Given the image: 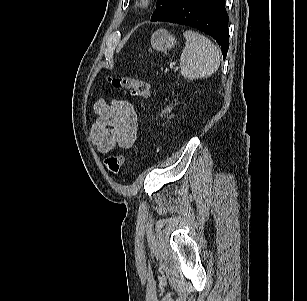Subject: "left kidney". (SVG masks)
<instances>
[{"instance_id":"obj_1","label":"left kidney","mask_w":307,"mask_h":301,"mask_svg":"<svg viewBox=\"0 0 307 301\" xmlns=\"http://www.w3.org/2000/svg\"><path fill=\"white\" fill-rule=\"evenodd\" d=\"M171 109H172V107H171V108H170V107L166 108L164 111H162V114H163V113H166V112H170Z\"/></svg>"}]
</instances>
